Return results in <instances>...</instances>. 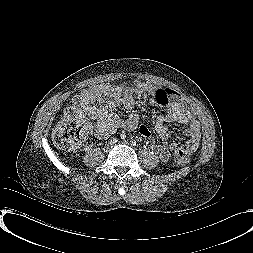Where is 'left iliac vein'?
<instances>
[{
	"label": "left iliac vein",
	"instance_id": "left-iliac-vein-1",
	"mask_svg": "<svg viewBox=\"0 0 253 253\" xmlns=\"http://www.w3.org/2000/svg\"><path fill=\"white\" fill-rule=\"evenodd\" d=\"M123 143H124V144H128V142H126V141H125V142H123Z\"/></svg>",
	"mask_w": 253,
	"mask_h": 253
}]
</instances>
